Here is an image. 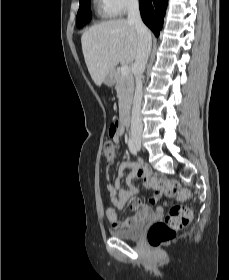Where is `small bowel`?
I'll use <instances>...</instances> for the list:
<instances>
[{
  "instance_id": "1",
  "label": "small bowel",
  "mask_w": 229,
  "mask_h": 280,
  "mask_svg": "<svg viewBox=\"0 0 229 280\" xmlns=\"http://www.w3.org/2000/svg\"><path fill=\"white\" fill-rule=\"evenodd\" d=\"M124 134V130L119 128L113 135L112 139L115 143H120ZM127 175V187L122 188V182L124 180L125 172ZM151 177L150 172L146 167L139 162H133L129 160L122 161L116 168L114 182L115 184H108L107 191L110 195L111 203L113 207H110L106 211V215L111 222L114 229H124L133 226L137 221L147 219L153 215L161 216L164 212L163 206H157L153 211L147 205L140 201H135L131 205V211L135 215L130 216L124 220L118 218L116 210H121L125 207L126 203L136 195L137 188L131 182L137 178H142L147 181ZM163 189L156 190V196L166 194Z\"/></svg>"
}]
</instances>
